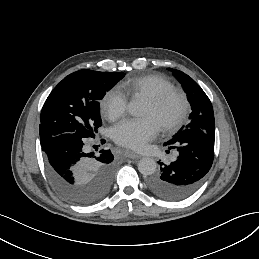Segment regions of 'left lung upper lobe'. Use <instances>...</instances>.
<instances>
[{
  "label": "left lung upper lobe",
  "mask_w": 259,
  "mask_h": 259,
  "mask_svg": "<svg viewBox=\"0 0 259 259\" xmlns=\"http://www.w3.org/2000/svg\"><path fill=\"white\" fill-rule=\"evenodd\" d=\"M173 71L174 75L180 81L183 86L184 91L187 94L188 101L191 105L192 112L189 116L190 122L182 127L171 140L166 142L167 145H173L177 142L178 137L182 133V131L186 129H205L210 130L211 132L215 131V121H214V113L212 104L202 90V88L187 74L175 70Z\"/></svg>",
  "instance_id": "left-lung-upper-lobe-1"
}]
</instances>
